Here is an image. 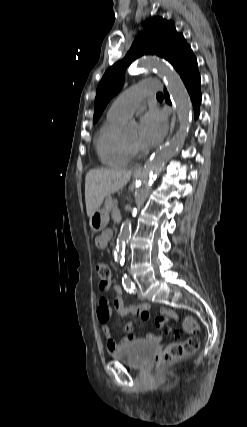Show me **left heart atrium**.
I'll return each mask as SVG.
<instances>
[{
	"mask_svg": "<svg viewBox=\"0 0 247 427\" xmlns=\"http://www.w3.org/2000/svg\"><path fill=\"white\" fill-rule=\"evenodd\" d=\"M167 131V120L157 109H150L140 120L139 124V145L142 148H149L158 144Z\"/></svg>",
	"mask_w": 247,
	"mask_h": 427,
	"instance_id": "obj_1",
	"label": "left heart atrium"
}]
</instances>
